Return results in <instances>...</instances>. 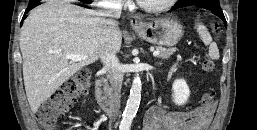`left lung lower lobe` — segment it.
<instances>
[{
	"label": "left lung lower lobe",
	"instance_id": "left-lung-lower-lobe-1",
	"mask_svg": "<svg viewBox=\"0 0 257 130\" xmlns=\"http://www.w3.org/2000/svg\"><path fill=\"white\" fill-rule=\"evenodd\" d=\"M199 3L205 5V9L212 11L215 15L219 16L226 23V19L221 10L218 0H201ZM178 8H180V6L175 5L171 10H175Z\"/></svg>",
	"mask_w": 257,
	"mask_h": 130
}]
</instances>
